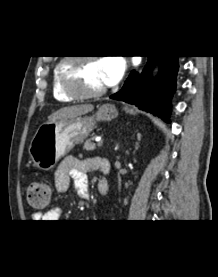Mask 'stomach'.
<instances>
[{
	"label": "stomach",
	"mask_w": 218,
	"mask_h": 277,
	"mask_svg": "<svg viewBox=\"0 0 218 277\" xmlns=\"http://www.w3.org/2000/svg\"><path fill=\"white\" fill-rule=\"evenodd\" d=\"M133 114V109L124 108ZM118 111L112 104H103L92 116H79L72 119L46 122L35 132L29 148V156L37 168L50 170L60 158L76 144L82 143L94 130L99 121L116 118Z\"/></svg>",
	"instance_id": "0dacf381"
}]
</instances>
